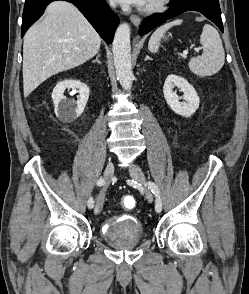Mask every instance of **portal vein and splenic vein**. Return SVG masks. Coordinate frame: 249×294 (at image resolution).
<instances>
[{"instance_id":"obj_1","label":"portal vein and splenic vein","mask_w":249,"mask_h":294,"mask_svg":"<svg viewBox=\"0 0 249 294\" xmlns=\"http://www.w3.org/2000/svg\"><path fill=\"white\" fill-rule=\"evenodd\" d=\"M196 52H198V50H196ZM187 54H188V52L187 51H184L183 52V57H185Z\"/></svg>"}]
</instances>
